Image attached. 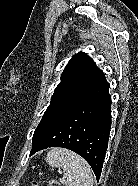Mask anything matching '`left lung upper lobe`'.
I'll use <instances>...</instances> for the list:
<instances>
[{"label":"left lung upper lobe","instance_id":"left-lung-upper-lobe-1","mask_svg":"<svg viewBox=\"0 0 138 186\" xmlns=\"http://www.w3.org/2000/svg\"><path fill=\"white\" fill-rule=\"evenodd\" d=\"M105 80L104 73L86 53L74 55L66 65L51 103L35 129L33 142Z\"/></svg>","mask_w":138,"mask_h":186}]
</instances>
